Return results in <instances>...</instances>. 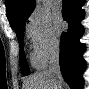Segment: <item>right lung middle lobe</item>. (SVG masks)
I'll return each instance as SVG.
<instances>
[{"mask_svg":"<svg viewBox=\"0 0 89 89\" xmlns=\"http://www.w3.org/2000/svg\"><path fill=\"white\" fill-rule=\"evenodd\" d=\"M27 20L22 21L20 24H18L15 28L14 31L16 32L19 45H20V68L21 72L24 76H27L30 74L29 67L25 58L24 54V48H23V35H24V27L25 23Z\"/></svg>","mask_w":89,"mask_h":89,"instance_id":"dd1d6c3e","label":"right lung middle lobe"}]
</instances>
